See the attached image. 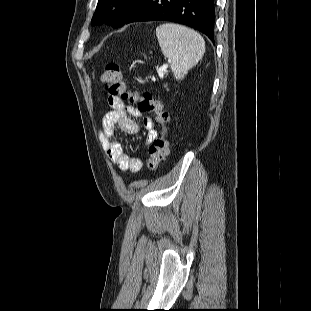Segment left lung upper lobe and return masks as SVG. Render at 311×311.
<instances>
[{"label": "left lung upper lobe", "mask_w": 311, "mask_h": 311, "mask_svg": "<svg viewBox=\"0 0 311 311\" xmlns=\"http://www.w3.org/2000/svg\"><path fill=\"white\" fill-rule=\"evenodd\" d=\"M133 2L134 0H98L91 24L98 25L106 22L114 27H118L122 15Z\"/></svg>", "instance_id": "left-lung-upper-lobe-1"}]
</instances>
